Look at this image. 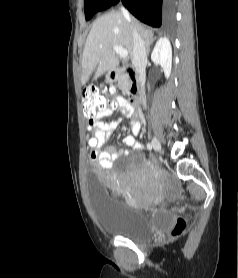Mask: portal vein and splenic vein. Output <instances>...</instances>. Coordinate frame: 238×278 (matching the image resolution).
I'll list each match as a JSON object with an SVG mask.
<instances>
[{
	"instance_id": "portal-vein-and-splenic-vein-1",
	"label": "portal vein and splenic vein",
	"mask_w": 238,
	"mask_h": 278,
	"mask_svg": "<svg viewBox=\"0 0 238 278\" xmlns=\"http://www.w3.org/2000/svg\"><path fill=\"white\" fill-rule=\"evenodd\" d=\"M113 50L121 57L126 58L128 56V51L121 46H113Z\"/></svg>"
}]
</instances>
